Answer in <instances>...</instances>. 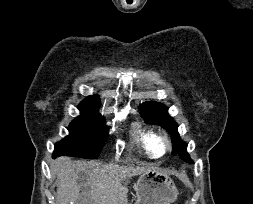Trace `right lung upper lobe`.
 I'll list each match as a JSON object with an SVG mask.
<instances>
[{
	"mask_svg": "<svg viewBox=\"0 0 253 204\" xmlns=\"http://www.w3.org/2000/svg\"><path fill=\"white\" fill-rule=\"evenodd\" d=\"M81 105L98 109L100 105V99L98 96L93 95L83 100Z\"/></svg>",
	"mask_w": 253,
	"mask_h": 204,
	"instance_id": "1",
	"label": "right lung upper lobe"
}]
</instances>
